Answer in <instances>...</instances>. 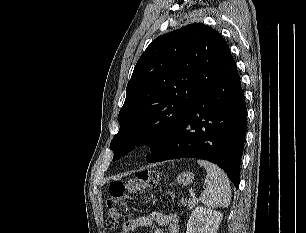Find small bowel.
<instances>
[{
    "mask_svg": "<svg viewBox=\"0 0 306 233\" xmlns=\"http://www.w3.org/2000/svg\"><path fill=\"white\" fill-rule=\"evenodd\" d=\"M156 223L159 228L155 233H163L162 227L167 228L168 233H180L179 219L174 214H163L161 212H152L149 215L137 216L129 219L119 233H131L139 227H151Z\"/></svg>",
    "mask_w": 306,
    "mask_h": 233,
    "instance_id": "c3829d8e",
    "label": "small bowel"
}]
</instances>
